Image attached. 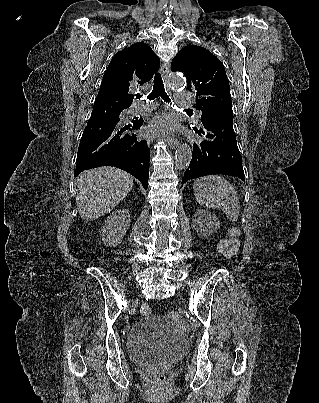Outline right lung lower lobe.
<instances>
[{"label": "right lung lower lobe", "mask_w": 319, "mask_h": 403, "mask_svg": "<svg viewBox=\"0 0 319 403\" xmlns=\"http://www.w3.org/2000/svg\"><path fill=\"white\" fill-rule=\"evenodd\" d=\"M142 125V119L124 124L121 115L90 118L80 140L74 175L114 166L135 176L147 189L150 150L136 132Z\"/></svg>", "instance_id": "obj_1"}]
</instances>
